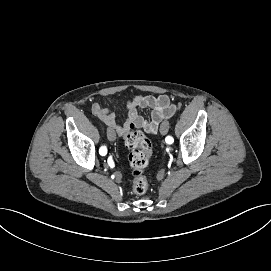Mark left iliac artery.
Here are the masks:
<instances>
[{
    "instance_id": "44dca946",
    "label": "left iliac artery",
    "mask_w": 271,
    "mask_h": 271,
    "mask_svg": "<svg viewBox=\"0 0 271 271\" xmlns=\"http://www.w3.org/2000/svg\"><path fill=\"white\" fill-rule=\"evenodd\" d=\"M166 144H173V137L171 135L165 136Z\"/></svg>"
}]
</instances>
